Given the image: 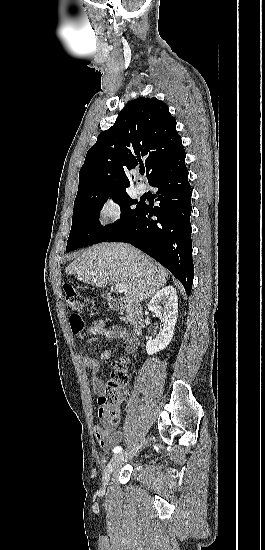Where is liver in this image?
Masks as SVG:
<instances>
[{
  "mask_svg": "<svg viewBox=\"0 0 265 550\" xmlns=\"http://www.w3.org/2000/svg\"><path fill=\"white\" fill-rule=\"evenodd\" d=\"M66 273L80 281L106 287L121 283L128 303H140L167 283V270L140 250L125 243H100L78 254Z\"/></svg>",
  "mask_w": 265,
  "mask_h": 550,
  "instance_id": "liver-1",
  "label": "liver"
}]
</instances>
